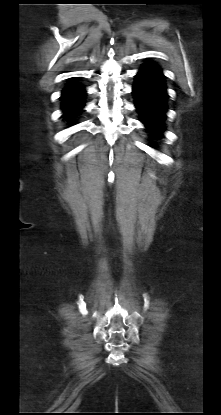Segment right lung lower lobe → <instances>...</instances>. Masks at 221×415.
Wrapping results in <instances>:
<instances>
[{"mask_svg": "<svg viewBox=\"0 0 221 415\" xmlns=\"http://www.w3.org/2000/svg\"><path fill=\"white\" fill-rule=\"evenodd\" d=\"M85 89L78 82H70L62 91V110L63 117L70 122L82 112L84 107Z\"/></svg>", "mask_w": 221, "mask_h": 415, "instance_id": "98d812e1", "label": "right lung lower lobe"}]
</instances>
